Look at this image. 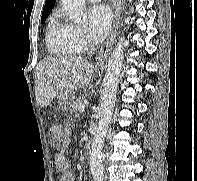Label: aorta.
<instances>
[{"label":"aorta","mask_w":197,"mask_h":181,"mask_svg":"<svg viewBox=\"0 0 197 181\" xmlns=\"http://www.w3.org/2000/svg\"><path fill=\"white\" fill-rule=\"evenodd\" d=\"M61 3L63 10L69 19L75 23H81L85 0H61ZM124 47L125 39L124 37H121L119 38L107 65L106 76L101 93L98 129L92 141L89 162L94 181H103L104 178V167L101 160L102 149L115 105L119 76L124 57Z\"/></svg>","instance_id":"762f6f07"}]
</instances>
